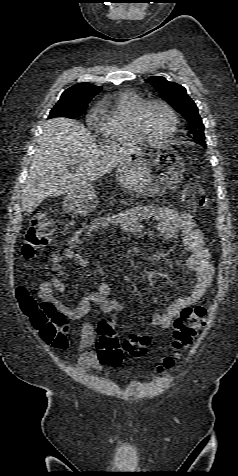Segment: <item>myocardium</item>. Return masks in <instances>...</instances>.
<instances>
[{
  "label": "myocardium",
  "instance_id": "f54148a6",
  "mask_svg": "<svg viewBox=\"0 0 238 476\" xmlns=\"http://www.w3.org/2000/svg\"><path fill=\"white\" fill-rule=\"evenodd\" d=\"M152 105H160L169 113L172 119V126L169 133L162 138H154L148 134L144 126V115L147 109ZM135 128L139 136L148 143L162 144L168 142L178 131L179 118L173 107L162 99H148L138 107L135 115Z\"/></svg>",
  "mask_w": 238,
  "mask_h": 476
}]
</instances>
